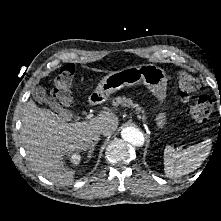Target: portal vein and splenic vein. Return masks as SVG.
Masks as SVG:
<instances>
[{
  "mask_svg": "<svg viewBox=\"0 0 221 221\" xmlns=\"http://www.w3.org/2000/svg\"><path fill=\"white\" fill-rule=\"evenodd\" d=\"M86 118H87V119H91V118H92V115L89 114V115L86 116Z\"/></svg>",
  "mask_w": 221,
  "mask_h": 221,
  "instance_id": "18ae733b",
  "label": "portal vein and splenic vein"
}]
</instances>
